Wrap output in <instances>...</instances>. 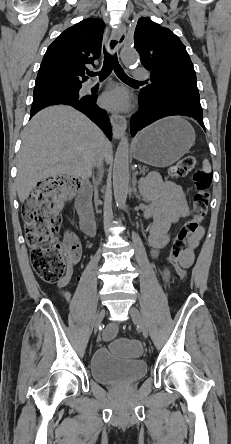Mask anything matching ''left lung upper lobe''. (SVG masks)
Here are the masks:
<instances>
[{"label": "left lung upper lobe", "instance_id": "5c2ea615", "mask_svg": "<svg viewBox=\"0 0 231 444\" xmlns=\"http://www.w3.org/2000/svg\"><path fill=\"white\" fill-rule=\"evenodd\" d=\"M134 47L143 66L151 72V84L141 89L147 97L199 101L196 74L181 40L168 28L148 18L138 20Z\"/></svg>", "mask_w": 231, "mask_h": 444}]
</instances>
